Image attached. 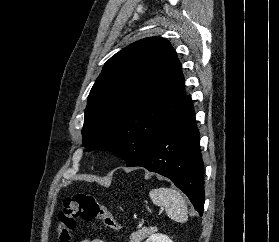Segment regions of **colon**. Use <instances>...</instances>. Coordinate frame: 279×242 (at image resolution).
<instances>
[{"label": "colon", "mask_w": 279, "mask_h": 242, "mask_svg": "<svg viewBox=\"0 0 279 242\" xmlns=\"http://www.w3.org/2000/svg\"><path fill=\"white\" fill-rule=\"evenodd\" d=\"M79 219L101 220L106 227L121 228L111 211L93 195L76 193L64 199L63 207L58 213V242H71V232L76 228Z\"/></svg>", "instance_id": "5ec220e1"}]
</instances>
